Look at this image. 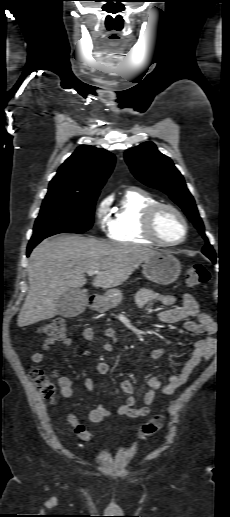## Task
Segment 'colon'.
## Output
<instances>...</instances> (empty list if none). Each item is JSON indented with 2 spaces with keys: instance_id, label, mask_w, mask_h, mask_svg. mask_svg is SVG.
<instances>
[{
  "instance_id": "1",
  "label": "colon",
  "mask_w": 230,
  "mask_h": 517,
  "mask_svg": "<svg viewBox=\"0 0 230 517\" xmlns=\"http://www.w3.org/2000/svg\"><path fill=\"white\" fill-rule=\"evenodd\" d=\"M209 278V271L201 264L193 265L186 271V282L190 286L205 284ZM39 330L44 335L53 339L66 340L68 338L67 326L61 320L46 323L42 325ZM29 376L43 397L48 401H52L55 396V385L52 377L40 368H31ZM162 422V416L154 417L150 422L143 425L140 431L141 436L147 437L154 434L160 429Z\"/></svg>"
}]
</instances>
